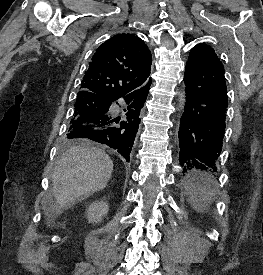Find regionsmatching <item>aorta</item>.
<instances>
[{
    "label": "aorta",
    "instance_id": "1",
    "mask_svg": "<svg viewBox=\"0 0 263 275\" xmlns=\"http://www.w3.org/2000/svg\"><path fill=\"white\" fill-rule=\"evenodd\" d=\"M178 102H179V109L182 110L185 105V93L184 92H181L179 94Z\"/></svg>",
    "mask_w": 263,
    "mask_h": 275
}]
</instances>
